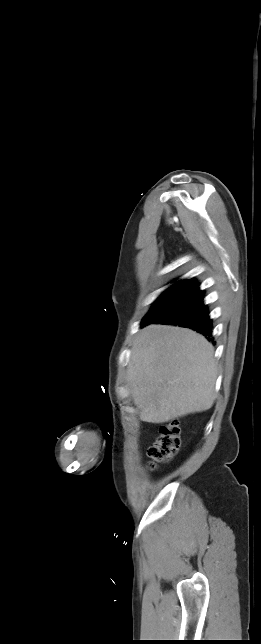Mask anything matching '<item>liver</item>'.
<instances>
[{
  "instance_id": "1",
  "label": "liver",
  "mask_w": 261,
  "mask_h": 644,
  "mask_svg": "<svg viewBox=\"0 0 261 644\" xmlns=\"http://www.w3.org/2000/svg\"><path fill=\"white\" fill-rule=\"evenodd\" d=\"M216 378L212 344L190 329L152 324L133 342L127 382L142 421L165 423L210 409Z\"/></svg>"
}]
</instances>
